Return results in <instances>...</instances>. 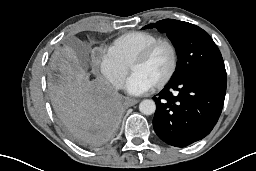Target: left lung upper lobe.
Here are the masks:
<instances>
[{"mask_svg": "<svg viewBox=\"0 0 256 171\" xmlns=\"http://www.w3.org/2000/svg\"><path fill=\"white\" fill-rule=\"evenodd\" d=\"M157 28L167 33L178 55L176 70L170 79L175 81L185 74L208 68H225L219 49L212 38L200 27L188 22L164 19L143 29Z\"/></svg>", "mask_w": 256, "mask_h": 171, "instance_id": "5c2ea615", "label": "left lung upper lobe"}]
</instances>
